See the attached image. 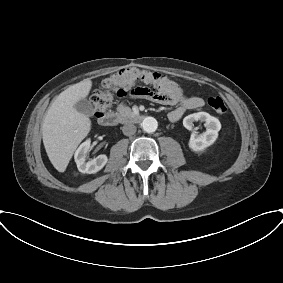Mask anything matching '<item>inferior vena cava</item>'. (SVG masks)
<instances>
[{"label":"inferior vena cava","mask_w":283,"mask_h":283,"mask_svg":"<svg viewBox=\"0 0 283 283\" xmlns=\"http://www.w3.org/2000/svg\"><path fill=\"white\" fill-rule=\"evenodd\" d=\"M123 134L126 136H132L136 133V126L134 124H125L122 127Z\"/></svg>","instance_id":"obj_1"}]
</instances>
